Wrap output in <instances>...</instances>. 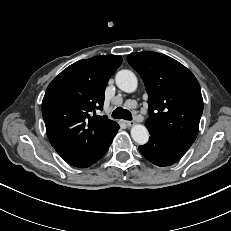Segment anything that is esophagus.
<instances>
[{
	"instance_id": "1",
	"label": "esophagus",
	"mask_w": 231,
	"mask_h": 231,
	"mask_svg": "<svg viewBox=\"0 0 231 231\" xmlns=\"http://www.w3.org/2000/svg\"><path fill=\"white\" fill-rule=\"evenodd\" d=\"M124 123H125L128 127L133 126V125L135 124L134 121H124Z\"/></svg>"
}]
</instances>
